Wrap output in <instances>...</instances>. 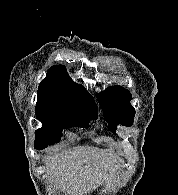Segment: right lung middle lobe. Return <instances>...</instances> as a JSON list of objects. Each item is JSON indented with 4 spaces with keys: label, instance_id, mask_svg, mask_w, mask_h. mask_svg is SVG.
<instances>
[{
    "label": "right lung middle lobe",
    "instance_id": "dd1d6c3e",
    "mask_svg": "<svg viewBox=\"0 0 178 195\" xmlns=\"http://www.w3.org/2000/svg\"><path fill=\"white\" fill-rule=\"evenodd\" d=\"M36 117L42 122V128L35 131L34 148L42 150L48 145L60 141L62 130L87 127L89 119H96L97 107L88 104L59 105L36 104Z\"/></svg>",
    "mask_w": 178,
    "mask_h": 195
}]
</instances>
